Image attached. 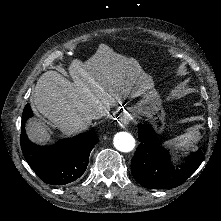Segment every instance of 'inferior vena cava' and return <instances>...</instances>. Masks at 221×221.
<instances>
[{"label": "inferior vena cava", "instance_id": "obj_1", "mask_svg": "<svg viewBox=\"0 0 221 221\" xmlns=\"http://www.w3.org/2000/svg\"><path fill=\"white\" fill-rule=\"evenodd\" d=\"M108 114H109V108L104 105H101V106H98L96 110L91 114L90 119L91 121L99 120L101 118L108 116Z\"/></svg>", "mask_w": 221, "mask_h": 221}]
</instances>
